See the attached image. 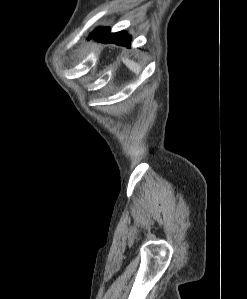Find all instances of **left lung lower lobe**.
Returning a JSON list of instances; mask_svg holds the SVG:
<instances>
[{
  "label": "left lung lower lobe",
  "instance_id": "left-lung-lower-lobe-1",
  "mask_svg": "<svg viewBox=\"0 0 247 299\" xmlns=\"http://www.w3.org/2000/svg\"><path fill=\"white\" fill-rule=\"evenodd\" d=\"M94 38L96 41L104 43H115L117 45H122L129 47L131 45L130 38L128 34L124 31L117 33H110L108 28H98L93 33L90 34L89 39Z\"/></svg>",
  "mask_w": 247,
  "mask_h": 299
}]
</instances>
